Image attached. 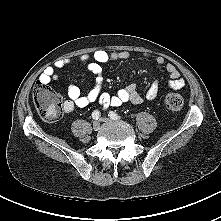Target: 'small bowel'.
I'll return each instance as SVG.
<instances>
[{"mask_svg":"<svg viewBox=\"0 0 221 221\" xmlns=\"http://www.w3.org/2000/svg\"><path fill=\"white\" fill-rule=\"evenodd\" d=\"M130 58L128 51H113L108 52L105 50H96L91 53L82 54L76 58H65L58 60L54 66L47 67L39 77L40 82L49 83L52 80L59 78L57 69H61L72 61L85 64L89 72L95 76L94 86L89 92L83 95L80 89L73 84L67 86V99L64 101L63 107L66 114H71L76 107L84 108L93 102H98L104 107L113 106L118 107L126 102L133 104H140L143 100L142 96L137 91L135 85L130 84L115 94H110L103 91V68L102 65L111 61L127 60ZM158 67H162L165 64L163 57H157L155 59ZM165 69L169 74L168 87L173 90H180L185 86L184 79L180 76L179 71L173 64H166ZM159 90V83L153 82L146 91V98L153 100L157 97Z\"/></svg>","mask_w":221,"mask_h":221,"instance_id":"1","label":"small bowel"}]
</instances>
